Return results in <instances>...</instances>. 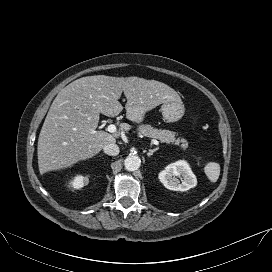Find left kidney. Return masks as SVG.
Masks as SVG:
<instances>
[{
    "label": "left kidney",
    "mask_w": 272,
    "mask_h": 272,
    "mask_svg": "<svg viewBox=\"0 0 272 272\" xmlns=\"http://www.w3.org/2000/svg\"><path fill=\"white\" fill-rule=\"evenodd\" d=\"M159 179L167 189L173 191L184 192L195 187L197 184L196 176L184 160H179L166 166L159 173Z\"/></svg>",
    "instance_id": "1"
}]
</instances>
